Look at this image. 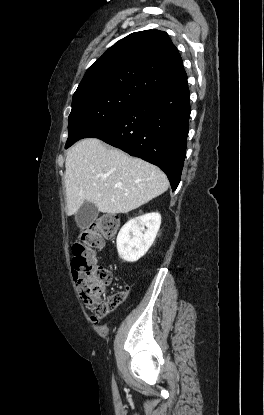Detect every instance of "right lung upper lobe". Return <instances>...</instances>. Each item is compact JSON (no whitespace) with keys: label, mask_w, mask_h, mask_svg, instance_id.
<instances>
[{"label":"right lung upper lobe","mask_w":264,"mask_h":415,"mask_svg":"<svg viewBox=\"0 0 264 415\" xmlns=\"http://www.w3.org/2000/svg\"><path fill=\"white\" fill-rule=\"evenodd\" d=\"M186 79L182 58L168 34L140 31L119 40L96 60L73 98L111 91L143 98Z\"/></svg>","instance_id":"1"}]
</instances>
